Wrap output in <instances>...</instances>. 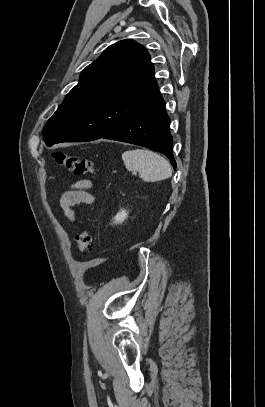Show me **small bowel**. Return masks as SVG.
<instances>
[{
    "instance_id": "c3829d8e",
    "label": "small bowel",
    "mask_w": 265,
    "mask_h": 407,
    "mask_svg": "<svg viewBox=\"0 0 265 407\" xmlns=\"http://www.w3.org/2000/svg\"><path fill=\"white\" fill-rule=\"evenodd\" d=\"M91 182L87 179L76 181L69 190L64 192L60 199L61 208L65 216L70 220H75L74 207L79 204H92L94 197L88 192Z\"/></svg>"
}]
</instances>
